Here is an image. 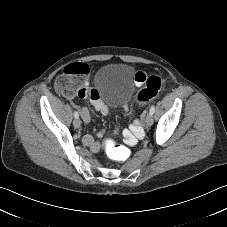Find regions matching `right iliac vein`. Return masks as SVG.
<instances>
[{
  "label": "right iliac vein",
  "mask_w": 227,
  "mask_h": 227,
  "mask_svg": "<svg viewBox=\"0 0 227 227\" xmlns=\"http://www.w3.org/2000/svg\"><path fill=\"white\" fill-rule=\"evenodd\" d=\"M80 125H81V121L79 120V119H75L74 121H73V126L75 127V128H79L80 127Z\"/></svg>",
  "instance_id": "right-iliac-vein-1"
}]
</instances>
